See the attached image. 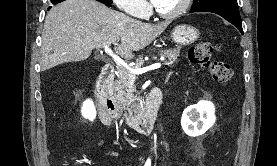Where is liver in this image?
Here are the masks:
<instances>
[{
	"label": "liver",
	"mask_w": 277,
	"mask_h": 166,
	"mask_svg": "<svg viewBox=\"0 0 277 166\" xmlns=\"http://www.w3.org/2000/svg\"><path fill=\"white\" fill-rule=\"evenodd\" d=\"M169 22L144 23L96 0H66L48 13L42 32L41 70L86 60L93 49L115 44L124 59L148 46ZM121 40L120 44L116 41Z\"/></svg>",
	"instance_id": "liver-1"
}]
</instances>
